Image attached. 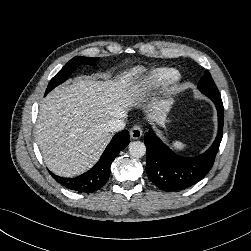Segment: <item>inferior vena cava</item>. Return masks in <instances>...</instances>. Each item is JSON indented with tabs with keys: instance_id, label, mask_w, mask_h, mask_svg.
I'll use <instances>...</instances> for the list:
<instances>
[{
	"instance_id": "1",
	"label": "inferior vena cava",
	"mask_w": 251,
	"mask_h": 251,
	"mask_svg": "<svg viewBox=\"0 0 251 251\" xmlns=\"http://www.w3.org/2000/svg\"><path fill=\"white\" fill-rule=\"evenodd\" d=\"M126 114L121 115L120 117L113 118L107 124L108 130L110 132H119L124 129L125 121L122 118H125Z\"/></svg>"
}]
</instances>
